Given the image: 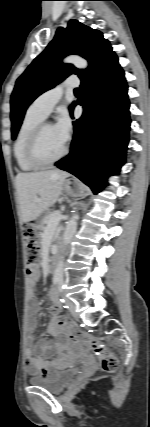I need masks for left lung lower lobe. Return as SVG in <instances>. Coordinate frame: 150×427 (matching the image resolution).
Instances as JSON below:
<instances>
[{"instance_id": "0a47b994", "label": "left lung lower lobe", "mask_w": 150, "mask_h": 427, "mask_svg": "<svg viewBox=\"0 0 150 427\" xmlns=\"http://www.w3.org/2000/svg\"><path fill=\"white\" fill-rule=\"evenodd\" d=\"M80 89L71 112L79 104L84 107L83 115L73 122L69 155L55 165L97 194L107 185L108 176L117 174L124 164L131 122L124 71L112 50L81 79Z\"/></svg>"}]
</instances>
